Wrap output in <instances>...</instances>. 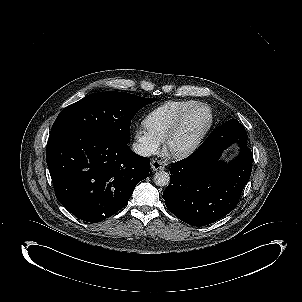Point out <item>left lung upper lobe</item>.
Segmentation results:
<instances>
[{
    "label": "left lung upper lobe",
    "instance_id": "left-lung-upper-lobe-1",
    "mask_svg": "<svg viewBox=\"0 0 302 302\" xmlns=\"http://www.w3.org/2000/svg\"><path fill=\"white\" fill-rule=\"evenodd\" d=\"M247 140L244 126L236 119H232L215 129L204 142L224 149L235 142H247Z\"/></svg>",
    "mask_w": 302,
    "mask_h": 302
}]
</instances>
